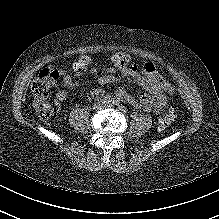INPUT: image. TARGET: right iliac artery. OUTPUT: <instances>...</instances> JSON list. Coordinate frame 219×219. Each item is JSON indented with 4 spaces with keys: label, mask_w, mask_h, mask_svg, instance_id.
Wrapping results in <instances>:
<instances>
[{
    "label": "right iliac artery",
    "mask_w": 219,
    "mask_h": 219,
    "mask_svg": "<svg viewBox=\"0 0 219 219\" xmlns=\"http://www.w3.org/2000/svg\"><path fill=\"white\" fill-rule=\"evenodd\" d=\"M113 98H112V96H110V95H106V96H104L103 97V99H102V101H103V103H113Z\"/></svg>",
    "instance_id": "1"
}]
</instances>
